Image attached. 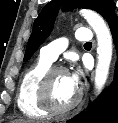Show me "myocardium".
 <instances>
[{
  "label": "myocardium",
  "mask_w": 118,
  "mask_h": 123,
  "mask_svg": "<svg viewBox=\"0 0 118 123\" xmlns=\"http://www.w3.org/2000/svg\"><path fill=\"white\" fill-rule=\"evenodd\" d=\"M61 72L67 70L61 66H51L43 75L39 85V102L41 107L48 113L54 115H62L73 110L81 101L83 92L81 88H78L75 98L66 106H58L52 96V84L54 77Z\"/></svg>",
  "instance_id": "f54148a6"
}]
</instances>
